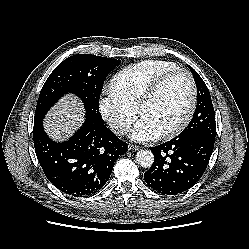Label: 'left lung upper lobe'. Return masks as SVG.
Wrapping results in <instances>:
<instances>
[{"mask_svg":"<svg viewBox=\"0 0 249 249\" xmlns=\"http://www.w3.org/2000/svg\"><path fill=\"white\" fill-rule=\"evenodd\" d=\"M189 68L197 86V106L192 120L178 137L203 134L215 138V112L209 90L199 74L191 66Z\"/></svg>","mask_w":249,"mask_h":249,"instance_id":"1","label":"left lung upper lobe"}]
</instances>
